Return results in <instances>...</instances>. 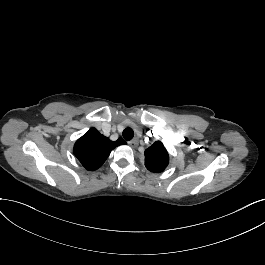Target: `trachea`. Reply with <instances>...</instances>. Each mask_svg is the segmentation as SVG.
Returning a JSON list of instances; mask_svg holds the SVG:
<instances>
[{
  "label": "trachea",
  "mask_w": 265,
  "mask_h": 265,
  "mask_svg": "<svg viewBox=\"0 0 265 265\" xmlns=\"http://www.w3.org/2000/svg\"><path fill=\"white\" fill-rule=\"evenodd\" d=\"M124 139L130 141L134 137V131L131 128H126L122 133Z\"/></svg>",
  "instance_id": "trachea-1"
}]
</instances>
